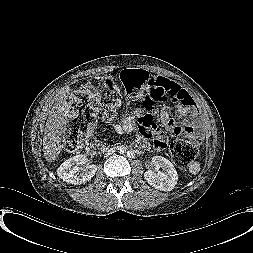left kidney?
I'll return each instance as SVG.
<instances>
[{
	"mask_svg": "<svg viewBox=\"0 0 253 253\" xmlns=\"http://www.w3.org/2000/svg\"><path fill=\"white\" fill-rule=\"evenodd\" d=\"M153 169L144 173L149 185L161 191H171L178 181V174L174 165L162 156L152 157Z\"/></svg>",
	"mask_w": 253,
	"mask_h": 253,
	"instance_id": "obj_1",
	"label": "left kidney"
}]
</instances>
